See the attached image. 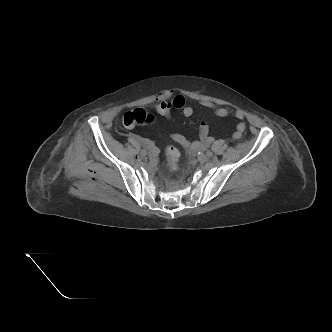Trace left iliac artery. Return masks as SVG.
Returning <instances> with one entry per match:
<instances>
[{
	"mask_svg": "<svg viewBox=\"0 0 332 332\" xmlns=\"http://www.w3.org/2000/svg\"><path fill=\"white\" fill-rule=\"evenodd\" d=\"M212 155H213V154H212L211 151H207V152H206V156H207V157H212Z\"/></svg>",
	"mask_w": 332,
	"mask_h": 332,
	"instance_id": "obj_1",
	"label": "left iliac artery"
}]
</instances>
